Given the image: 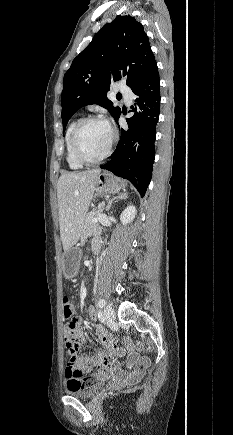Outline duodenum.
Here are the masks:
<instances>
[{
  "mask_svg": "<svg viewBox=\"0 0 233 435\" xmlns=\"http://www.w3.org/2000/svg\"><path fill=\"white\" fill-rule=\"evenodd\" d=\"M93 250H94V252H98V250H99V247L96 243L94 244Z\"/></svg>",
  "mask_w": 233,
  "mask_h": 435,
  "instance_id": "1",
  "label": "duodenum"
}]
</instances>
